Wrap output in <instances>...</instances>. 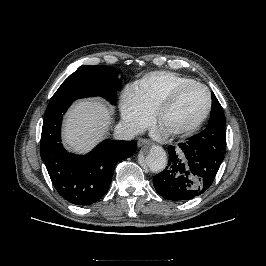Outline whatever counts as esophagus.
<instances>
[{
	"label": "esophagus",
	"instance_id": "1",
	"mask_svg": "<svg viewBox=\"0 0 266 266\" xmlns=\"http://www.w3.org/2000/svg\"><path fill=\"white\" fill-rule=\"evenodd\" d=\"M151 141L148 139L140 138L137 142L138 147H141L143 145H150Z\"/></svg>",
	"mask_w": 266,
	"mask_h": 266
}]
</instances>
